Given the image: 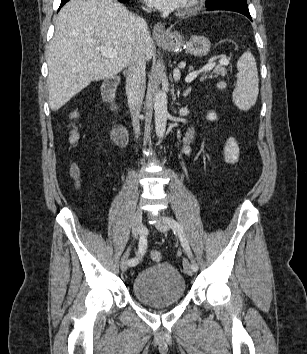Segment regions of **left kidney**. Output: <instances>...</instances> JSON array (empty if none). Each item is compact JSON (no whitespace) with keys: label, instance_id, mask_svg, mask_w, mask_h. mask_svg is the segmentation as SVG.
<instances>
[{"label":"left kidney","instance_id":"1","mask_svg":"<svg viewBox=\"0 0 307 354\" xmlns=\"http://www.w3.org/2000/svg\"><path fill=\"white\" fill-rule=\"evenodd\" d=\"M207 120L214 121L217 119V116L214 112H209L206 116Z\"/></svg>","mask_w":307,"mask_h":354}]
</instances>
